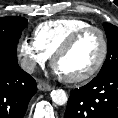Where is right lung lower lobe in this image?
<instances>
[{"label": "right lung lower lobe", "mask_w": 118, "mask_h": 118, "mask_svg": "<svg viewBox=\"0 0 118 118\" xmlns=\"http://www.w3.org/2000/svg\"><path fill=\"white\" fill-rule=\"evenodd\" d=\"M36 91L35 80L19 67L15 55L0 54V118H23Z\"/></svg>", "instance_id": "98d812e1"}]
</instances>
